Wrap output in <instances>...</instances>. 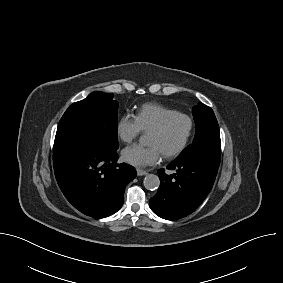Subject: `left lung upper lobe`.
Masks as SVG:
<instances>
[{"instance_id":"5c2ea615","label":"left lung upper lobe","mask_w":283,"mask_h":283,"mask_svg":"<svg viewBox=\"0 0 283 283\" xmlns=\"http://www.w3.org/2000/svg\"><path fill=\"white\" fill-rule=\"evenodd\" d=\"M196 135L176 160L201 157L219 166L221 157V140L217 119L213 110L203 103L193 107Z\"/></svg>"}]
</instances>
